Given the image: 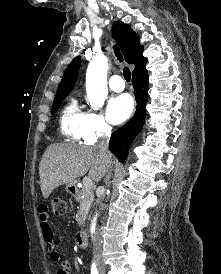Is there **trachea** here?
Listing matches in <instances>:
<instances>
[{
  "label": "trachea",
  "instance_id": "3493384b",
  "mask_svg": "<svg viewBox=\"0 0 221 274\" xmlns=\"http://www.w3.org/2000/svg\"><path fill=\"white\" fill-rule=\"evenodd\" d=\"M114 52H115V55L118 58V60H120V62H122V55L116 46H114ZM123 76L127 82H130L131 72L127 67H125L123 70Z\"/></svg>",
  "mask_w": 221,
  "mask_h": 274
}]
</instances>
